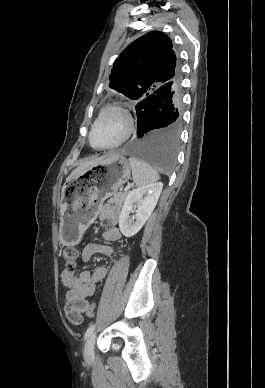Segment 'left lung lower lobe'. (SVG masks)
Masks as SVG:
<instances>
[{
    "label": "left lung lower lobe",
    "instance_id": "left-lung-lower-lobe-1",
    "mask_svg": "<svg viewBox=\"0 0 265 388\" xmlns=\"http://www.w3.org/2000/svg\"><path fill=\"white\" fill-rule=\"evenodd\" d=\"M180 81L162 85L136 105L137 137L126 148L129 154L163 171L173 168L177 155L182 119Z\"/></svg>",
    "mask_w": 265,
    "mask_h": 388
}]
</instances>
